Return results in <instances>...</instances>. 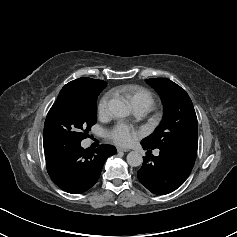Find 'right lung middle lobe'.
<instances>
[{
    "label": "right lung middle lobe",
    "mask_w": 237,
    "mask_h": 237,
    "mask_svg": "<svg viewBox=\"0 0 237 237\" xmlns=\"http://www.w3.org/2000/svg\"><path fill=\"white\" fill-rule=\"evenodd\" d=\"M105 87L90 88L75 81L66 84L47 114L44 137L81 142L89 136L97 118L96 100Z\"/></svg>",
    "instance_id": "dd1d6c3e"
}]
</instances>
